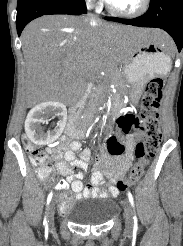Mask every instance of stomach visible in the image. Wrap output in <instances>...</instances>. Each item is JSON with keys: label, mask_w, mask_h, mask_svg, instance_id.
Listing matches in <instances>:
<instances>
[{"label": "stomach", "mask_w": 183, "mask_h": 246, "mask_svg": "<svg viewBox=\"0 0 183 246\" xmlns=\"http://www.w3.org/2000/svg\"><path fill=\"white\" fill-rule=\"evenodd\" d=\"M166 47L154 41H132L127 47L123 63V77L132 85L134 93H139L154 75L166 74L171 59ZM146 61V62H134Z\"/></svg>", "instance_id": "0dacf381"}]
</instances>
